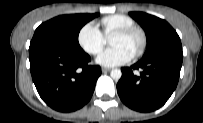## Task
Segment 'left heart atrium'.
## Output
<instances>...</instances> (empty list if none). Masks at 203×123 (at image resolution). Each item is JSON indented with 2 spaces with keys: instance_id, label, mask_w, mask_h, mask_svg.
<instances>
[{
  "instance_id": "1",
  "label": "left heart atrium",
  "mask_w": 203,
  "mask_h": 123,
  "mask_svg": "<svg viewBox=\"0 0 203 123\" xmlns=\"http://www.w3.org/2000/svg\"><path fill=\"white\" fill-rule=\"evenodd\" d=\"M132 54L120 46H112L104 50L98 57L97 62L104 66H118L129 62Z\"/></svg>"
}]
</instances>
